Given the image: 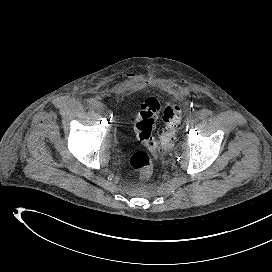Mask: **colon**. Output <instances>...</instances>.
Here are the masks:
<instances>
[{"label":"colon","mask_w":272,"mask_h":272,"mask_svg":"<svg viewBox=\"0 0 272 272\" xmlns=\"http://www.w3.org/2000/svg\"><path fill=\"white\" fill-rule=\"evenodd\" d=\"M181 106L177 104H162L157 98L145 100L140 110L132 117L135 132L148 150H138L130 157V166L143 177H149L153 171L151 153L169 149L176 139L181 122ZM162 113L164 128L155 135V119Z\"/></svg>","instance_id":"5ec220e1"}]
</instances>
